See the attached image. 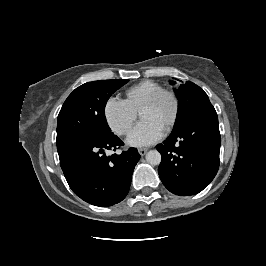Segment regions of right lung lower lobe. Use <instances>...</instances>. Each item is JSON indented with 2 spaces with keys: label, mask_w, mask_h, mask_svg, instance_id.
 I'll list each match as a JSON object with an SVG mask.
<instances>
[{
  "label": "right lung lower lobe",
  "mask_w": 266,
  "mask_h": 266,
  "mask_svg": "<svg viewBox=\"0 0 266 266\" xmlns=\"http://www.w3.org/2000/svg\"><path fill=\"white\" fill-rule=\"evenodd\" d=\"M122 145L120 138L110 133L76 144L59 155L64 176L77 196L101 207L114 205L126 197L140 154L136 148L120 155L104 153Z\"/></svg>",
  "instance_id": "1"
}]
</instances>
